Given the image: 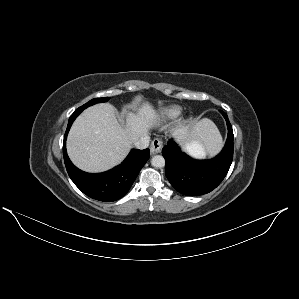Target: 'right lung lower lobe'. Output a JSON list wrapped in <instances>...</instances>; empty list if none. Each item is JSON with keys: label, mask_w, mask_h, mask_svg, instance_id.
Returning <instances> with one entry per match:
<instances>
[{"label": "right lung lower lobe", "mask_w": 299, "mask_h": 299, "mask_svg": "<svg viewBox=\"0 0 299 299\" xmlns=\"http://www.w3.org/2000/svg\"><path fill=\"white\" fill-rule=\"evenodd\" d=\"M84 109L79 107L70 116L63 141V157L67 172L74 184L87 196L104 202L122 198L130 189L139 171L149 159V149H133L118 166L103 173H86L70 161L66 152V139L69 129L76 117Z\"/></svg>", "instance_id": "1"}]
</instances>
